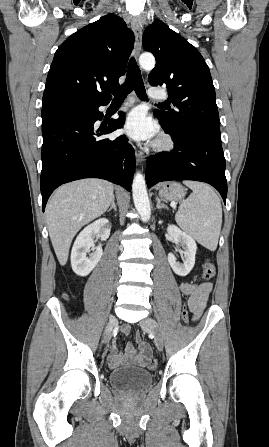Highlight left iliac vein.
I'll return each instance as SVG.
<instances>
[{"label":"left iliac vein","instance_id":"obj_1","mask_svg":"<svg viewBox=\"0 0 269 447\" xmlns=\"http://www.w3.org/2000/svg\"><path fill=\"white\" fill-rule=\"evenodd\" d=\"M141 327H148L154 334V342L159 350L163 348V335L161 328L156 320L151 317H147L141 322Z\"/></svg>","mask_w":269,"mask_h":447}]
</instances>
